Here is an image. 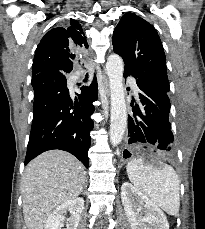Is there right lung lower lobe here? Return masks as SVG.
<instances>
[{"label": "right lung lower lobe", "instance_id": "right-lung-lower-lobe-1", "mask_svg": "<svg viewBox=\"0 0 205 229\" xmlns=\"http://www.w3.org/2000/svg\"><path fill=\"white\" fill-rule=\"evenodd\" d=\"M67 73L49 69L32 77L34 114L25 165L44 151L65 150L89 166L90 131L97 100V80L81 88L73 100L66 87Z\"/></svg>", "mask_w": 205, "mask_h": 229}]
</instances>
